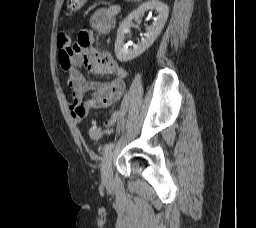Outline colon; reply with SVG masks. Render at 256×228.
Returning <instances> with one entry per match:
<instances>
[{
  "label": "colon",
  "instance_id": "5ec220e1",
  "mask_svg": "<svg viewBox=\"0 0 256 228\" xmlns=\"http://www.w3.org/2000/svg\"><path fill=\"white\" fill-rule=\"evenodd\" d=\"M57 46L61 50H69L71 48V39L68 35L60 34L57 37ZM89 136L93 139H98L101 137V135L104 132V127L98 125L97 123L93 122L91 123L89 127Z\"/></svg>",
  "mask_w": 256,
  "mask_h": 228
}]
</instances>
